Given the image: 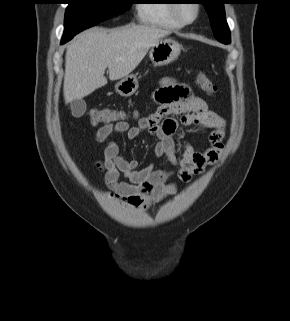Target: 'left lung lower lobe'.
I'll use <instances>...</instances> for the list:
<instances>
[{"mask_svg":"<svg viewBox=\"0 0 290 321\" xmlns=\"http://www.w3.org/2000/svg\"><path fill=\"white\" fill-rule=\"evenodd\" d=\"M221 43H224V44H229L230 42H221Z\"/></svg>","mask_w":290,"mask_h":321,"instance_id":"1","label":"left lung lower lobe"}]
</instances>
